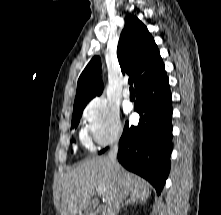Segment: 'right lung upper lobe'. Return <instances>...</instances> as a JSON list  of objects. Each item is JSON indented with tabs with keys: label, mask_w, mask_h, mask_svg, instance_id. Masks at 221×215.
I'll list each match as a JSON object with an SVG mask.
<instances>
[{
	"label": "right lung upper lobe",
	"mask_w": 221,
	"mask_h": 215,
	"mask_svg": "<svg viewBox=\"0 0 221 215\" xmlns=\"http://www.w3.org/2000/svg\"><path fill=\"white\" fill-rule=\"evenodd\" d=\"M117 57L123 74L134 78L135 88L164 71V63L154 38L134 15L125 18ZM100 74L101 59L94 56L78 79L74 105L87 104L95 96L101 95L103 83Z\"/></svg>",
	"instance_id": "obj_1"
}]
</instances>
